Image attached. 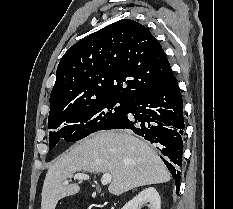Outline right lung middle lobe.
Listing matches in <instances>:
<instances>
[{"label": "right lung middle lobe", "instance_id": "1", "mask_svg": "<svg viewBox=\"0 0 233 209\" xmlns=\"http://www.w3.org/2000/svg\"><path fill=\"white\" fill-rule=\"evenodd\" d=\"M128 100L107 98L76 108L56 110L49 114V150L60 139L79 141L93 132L105 130L121 121L126 114Z\"/></svg>", "mask_w": 233, "mask_h": 209}]
</instances>
